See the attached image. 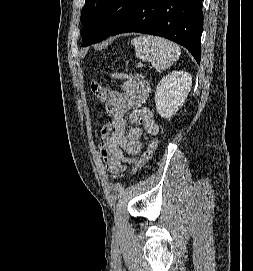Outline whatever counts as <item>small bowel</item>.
Here are the masks:
<instances>
[{
	"label": "small bowel",
	"instance_id": "c3829d8e",
	"mask_svg": "<svg viewBox=\"0 0 253 271\" xmlns=\"http://www.w3.org/2000/svg\"><path fill=\"white\" fill-rule=\"evenodd\" d=\"M150 92L146 80L132 77L124 79L123 91L101 90L99 99L110 120L101 129L98 150L107 168L116 175L125 170L126 164L136 162L143 149V138L159 133L153 111L145 106Z\"/></svg>",
	"mask_w": 253,
	"mask_h": 271
}]
</instances>
